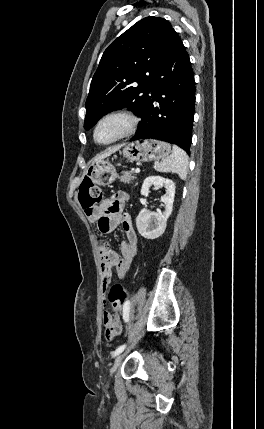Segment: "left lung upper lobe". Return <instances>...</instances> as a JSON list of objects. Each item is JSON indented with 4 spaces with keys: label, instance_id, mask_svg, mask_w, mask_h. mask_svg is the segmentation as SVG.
Wrapping results in <instances>:
<instances>
[{
    "label": "left lung upper lobe",
    "instance_id": "1",
    "mask_svg": "<svg viewBox=\"0 0 264 429\" xmlns=\"http://www.w3.org/2000/svg\"><path fill=\"white\" fill-rule=\"evenodd\" d=\"M173 30L160 17H146L111 43L102 55L86 100L84 128L104 114L127 107L141 116L151 82Z\"/></svg>",
    "mask_w": 264,
    "mask_h": 429
}]
</instances>
